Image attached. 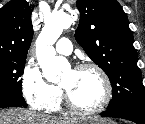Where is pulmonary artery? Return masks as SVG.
<instances>
[{"label": "pulmonary artery", "mask_w": 145, "mask_h": 124, "mask_svg": "<svg viewBox=\"0 0 145 124\" xmlns=\"http://www.w3.org/2000/svg\"><path fill=\"white\" fill-rule=\"evenodd\" d=\"M56 51L59 54H63V55H69L72 53V44L71 41L67 38H61L58 40V42L56 43Z\"/></svg>", "instance_id": "obj_1"}]
</instances>
